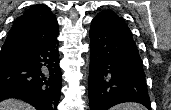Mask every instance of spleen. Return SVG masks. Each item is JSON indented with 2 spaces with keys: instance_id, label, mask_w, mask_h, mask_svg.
I'll return each instance as SVG.
<instances>
[{
  "instance_id": "1",
  "label": "spleen",
  "mask_w": 171,
  "mask_h": 110,
  "mask_svg": "<svg viewBox=\"0 0 171 110\" xmlns=\"http://www.w3.org/2000/svg\"><path fill=\"white\" fill-rule=\"evenodd\" d=\"M111 110H143L140 104L135 102H128L123 104H118L114 106Z\"/></svg>"
}]
</instances>
